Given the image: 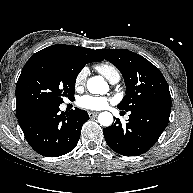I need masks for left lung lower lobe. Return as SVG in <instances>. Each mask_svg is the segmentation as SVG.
I'll return each instance as SVG.
<instances>
[{
  "label": "left lung lower lobe",
  "instance_id": "0a47b994",
  "mask_svg": "<svg viewBox=\"0 0 193 193\" xmlns=\"http://www.w3.org/2000/svg\"><path fill=\"white\" fill-rule=\"evenodd\" d=\"M171 99H164L130 111L126 127L119 119L103 129L108 146L125 156L146 153L158 140L169 122Z\"/></svg>",
  "mask_w": 193,
  "mask_h": 193
}]
</instances>
